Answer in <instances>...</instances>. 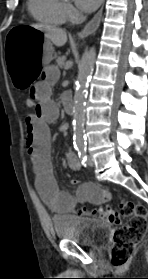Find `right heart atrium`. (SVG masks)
<instances>
[{"instance_id":"obj_1","label":"right heart atrium","mask_w":148,"mask_h":279,"mask_svg":"<svg viewBox=\"0 0 148 279\" xmlns=\"http://www.w3.org/2000/svg\"><path fill=\"white\" fill-rule=\"evenodd\" d=\"M64 12L66 17L69 19L75 18L77 16L76 10L68 3L64 4Z\"/></svg>"}]
</instances>
